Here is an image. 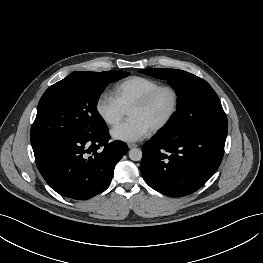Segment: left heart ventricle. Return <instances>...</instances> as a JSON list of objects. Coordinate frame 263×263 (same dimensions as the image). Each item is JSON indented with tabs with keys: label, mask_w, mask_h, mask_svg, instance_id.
Wrapping results in <instances>:
<instances>
[{
	"label": "left heart ventricle",
	"mask_w": 263,
	"mask_h": 263,
	"mask_svg": "<svg viewBox=\"0 0 263 263\" xmlns=\"http://www.w3.org/2000/svg\"><path fill=\"white\" fill-rule=\"evenodd\" d=\"M172 102L171 93L163 91L158 94L149 106L143 109H130L128 115L130 118L142 120L152 129L169 113Z\"/></svg>",
	"instance_id": "left-heart-ventricle-1"
}]
</instances>
